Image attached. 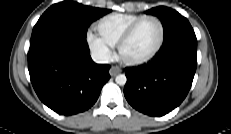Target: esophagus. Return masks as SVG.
Here are the masks:
<instances>
[{
    "label": "esophagus",
    "mask_w": 231,
    "mask_h": 134,
    "mask_svg": "<svg viewBox=\"0 0 231 134\" xmlns=\"http://www.w3.org/2000/svg\"><path fill=\"white\" fill-rule=\"evenodd\" d=\"M121 71H122V70H121L119 67H117V66H112V67L110 68V70H109V74H110L111 76H116V75H118Z\"/></svg>",
    "instance_id": "34e87169"
}]
</instances>
